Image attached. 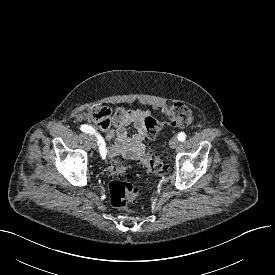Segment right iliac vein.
<instances>
[{"label":"right iliac vein","instance_id":"1","mask_svg":"<svg viewBox=\"0 0 275 275\" xmlns=\"http://www.w3.org/2000/svg\"><path fill=\"white\" fill-rule=\"evenodd\" d=\"M90 141L92 148L96 149L97 148V138L94 135H90Z\"/></svg>","mask_w":275,"mask_h":275}]
</instances>
